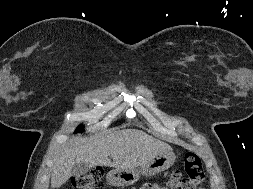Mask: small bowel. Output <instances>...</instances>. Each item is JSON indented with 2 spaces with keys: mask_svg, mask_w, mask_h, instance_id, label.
<instances>
[{
  "mask_svg": "<svg viewBox=\"0 0 253 189\" xmlns=\"http://www.w3.org/2000/svg\"><path fill=\"white\" fill-rule=\"evenodd\" d=\"M142 189H166V188L159 184H147L144 185Z\"/></svg>",
  "mask_w": 253,
  "mask_h": 189,
  "instance_id": "1",
  "label": "small bowel"
}]
</instances>
